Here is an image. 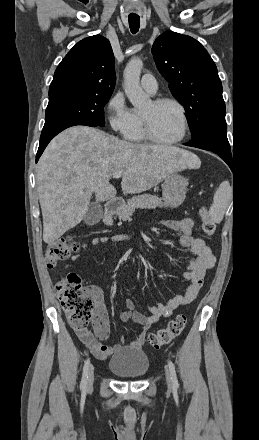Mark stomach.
<instances>
[{
	"instance_id": "0dacf381",
	"label": "stomach",
	"mask_w": 259,
	"mask_h": 440,
	"mask_svg": "<svg viewBox=\"0 0 259 440\" xmlns=\"http://www.w3.org/2000/svg\"><path fill=\"white\" fill-rule=\"evenodd\" d=\"M188 180L178 174H168L162 184V196L165 207L176 208L186 197ZM120 213V210H119Z\"/></svg>"
}]
</instances>
